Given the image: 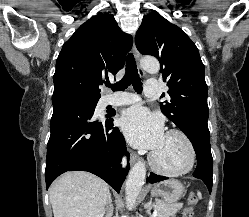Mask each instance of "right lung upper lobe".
Wrapping results in <instances>:
<instances>
[{"instance_id":"1","label":"right lung upper lobe","mask_w":249,"mask_h":217,"mask_svg":"<svg viewBox=\"0 0 249 217\" xmlns=\"http://www.w3.org/2000/svg\"><path fill=\"white\" fill-rule=\"evenodd\" d=\"M133 39L114 16L98 13L82 24L63 45L56 61L54 94L77 92L101 97L99 85L124 67Z\"/></svg>"}]
</instances>
